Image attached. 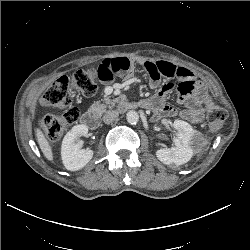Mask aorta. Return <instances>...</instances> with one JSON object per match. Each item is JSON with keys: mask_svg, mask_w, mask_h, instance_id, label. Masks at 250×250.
Listing matches in <instances>:
<instances>
[{"mask_svg": "<svg viewBox=\"0 0 250 250\" xmlns=\"http://www.w3.org/2000/svg\"><path fill=\"white\" fill-rule=\"evenodd\" d=\"M126 119L130 124H136L139 121V115L136 111L130 110L126 114Z\"/></svg>", "mask_w": 250, "mask_h": 250, "instance_id": "aorta-1", "label": "aorta"}]
</instances>
